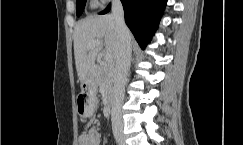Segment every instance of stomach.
<instances>
[{"instance_id": "stomach-1", "label": "stomach", "mask_w": 243, "mask_h": 145, "mask_svg": "<svg viewBox=\"0 0 243 145\" xmlns=\"http://www.w3.org/2000/svg\"><path fill=\"white\" fill-rule=\"evenodd\" d=\"M96 85L92 81H85L81 85V93L77 97V110L81 116H92L91 106L95 103Z\"/></svg>"}]
</instances>
